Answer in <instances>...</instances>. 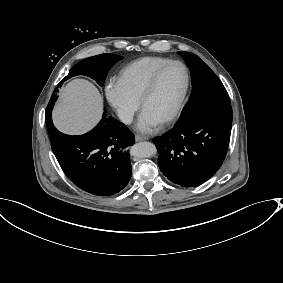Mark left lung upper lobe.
<instances>
[{
    "instance_id": "5c2ea615",
    "label": "left lung upper lobe",
    "mask_w": 283,
    "mask_h": 283,
    "mask_svg": "<svg viewBox=\"0 0 283 283\" xmlns=\"http://www.w3.org/2000/svg\"><path fill=\"white\" fill-rule=\"evenodd\" d=\"M179 54L184 57L191 71L193 89L177 122L203 109L231 106L228 93L215 73L197 55L189 52Z\"/></svg>"
}]
</instances>
